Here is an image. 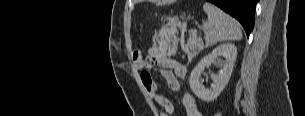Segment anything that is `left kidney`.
<instances>
[{"instance_id":"left-kidney-1","label":"left kidney","mask_w":305,"mask_h":116,"mask_svg":"<svg viewBox=\"0 0 305 116\" xmlns=\"http://www.w3.org/2000/svg\"><path fill=\"white\" fill-rule=\"evenodd\" d=\"M219 56L225 57V61L222 64L223 68L218 74L211 76L213 81L211 88H205L200 80L201 73L205 67L210 66L212 62H216ZM236 57L237 48L232 43H225L213 49L211 53L201 59L191 72L189 84L192 92L205 102H211L216 99L231 77Z\"/></svg>"}]
</instances>
